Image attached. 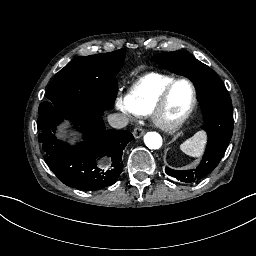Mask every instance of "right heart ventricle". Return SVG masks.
Wrapping results in <instances>:
<instances>
[{
	"label": "right heart ventricle",
	"instance_id": "e07e8e85",
	"mask_svg": "<svg viewBox=\"0 0 256 256\" xmlns=\"http://www.w3.org/2000/svg\"><path fill=\"white\" fill-rule=\"evenodd\" d=\"M175 79L173 75L149 74L134 87L132 97H137L144 102H153Z\"/></svg>",
	"mask_w": 256,
	"mask_h": 256
}]
</instances>
